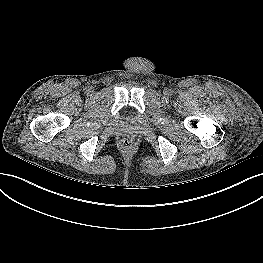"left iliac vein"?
I'll return each mask as SVG.
<instances>
[{"instance_id":"left-iliac-vein-1","label":"left iliac vein","mask_w":263,"mask_h":263,"mask_svg":"<svg viewBox=\"0 0 263 263\" xmlns=\"http://www.w3.org/2000/svg\"><path fill=\"white\" fill-rule=\"evenodd\" d=\"M164 94L165 95H169L170 94V90L169 89H165Z\"/></svg>"}]
</instances>
